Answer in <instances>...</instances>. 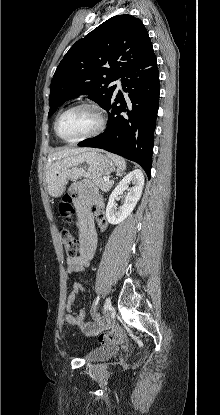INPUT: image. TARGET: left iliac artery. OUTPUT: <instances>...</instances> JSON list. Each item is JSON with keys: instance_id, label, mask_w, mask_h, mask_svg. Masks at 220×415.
I'll use <instances>...</instances> for the list:
<instances>
[{"instance_id": "obj_1", "label": "left iliac artery", "mask_w": 220, "mask_h": 415, "mask_svg": "<svg viewBox=\"0 0 220 415\" xmlns=\"http://www.w3.org/2000/svg\"><path fill=\"white\" fill-rule=\"evenodd\" d=\"M99 299H100V297H99V295H98V296H97V298L94 300V302H93V304H92V307H91V310H92V311H95V309L97 308V305H98Z\"/></svg>"}]
</instances>
